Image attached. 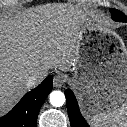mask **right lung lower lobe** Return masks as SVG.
Returning <instances> with one entry per match:
<instances>
[{
    "instance_id": "98d812e1",
    "label": "right lung lower lobe",
    "mask_w": 127,
    "mask_h": 127,
    "mask_svg": "<svg viewBox=\"0 0 127 127\" xmlns=\"http://www.w3.org/2000/svg\"><path fill=\"white\" fill-rule=\"evenodd\" d=\"M53 87L52 76L27 93L5 116L0 118V127H36L40 108Z\"/></svg>"
}]
</instances>
